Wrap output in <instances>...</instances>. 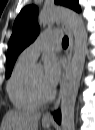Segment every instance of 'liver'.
I'll list each match as a JSON object with an SVG mask.
<instances>
[{"mask_svg": "<svg viewBox=\"0 0 95 130\" xmlns=\"http://www.w3.org/2000/svg\"><path fill=\"white\" fill-rule=\"evenodd\" d=\"M40 117L38 111L10 110L3 118L2 130H37Z\"/></svg>", "mask_w": 95, "mask_h": 130, "instance_id": "1", "label": "liver"}]
</instances>
